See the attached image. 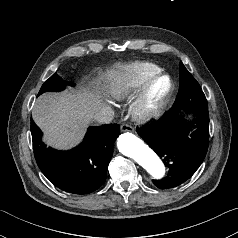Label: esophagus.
<instances>
[{"label": "esophagus", "instance_id": "1", "mask_svg": "<svg viewBox=\"0 0 238 238\" xmlns=\"http://www.w3.org/2000/svg\"><path fill=\"white\" fill-rule=\"evenodd\" d=\"M120 130H121V132H133L134 128L129 124H122L120 126Z\"/></svg>", "mask_w": 238, "mask_h": 238}]
</instances>
